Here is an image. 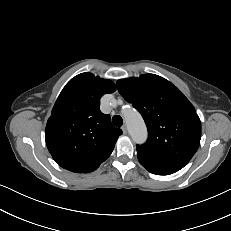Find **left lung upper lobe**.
<instances>
[{
  "label": "left lung upper lobe",
  "mask_w": 231,
  "mask_h": 231,
  "mask_svg": "<svg viewBox=\"0 0 231 231\" xmlns=\"http://www.w3.org/2000/svg\"><path fill=\"white\" fill-rule=\"evenodd\" d=\"M119 93L142 115L148 139L137 145L138 159L147 163L182 169L197 151L201 122L183 93L165 78L143 74L117 81Z\"/></svg>",
  "instance_id": "5c2ea615"
}]
</instances>
